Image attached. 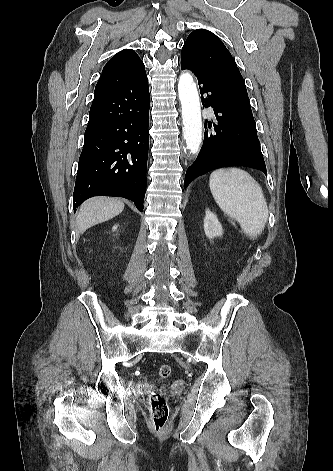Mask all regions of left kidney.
Listing matches in <instances>:
<instances>
[{
    "label": "left kidney",
    "instance_id": "1",
    "mask_svg": "<svg viewBox=\"0 0 333 471\" xmlns=\"http://www.w3.org/2000/svg\"><path fill=\"white\" fill-rule=\"evenodd\" d=\"M204 232L209 239L221 237L223 235L222 225L220 224L216 214L211 212L209 209H206L205 211Z\"/></svg>",
    "mask_w": 333,
    "mask_h": 471
}]
</instances>
